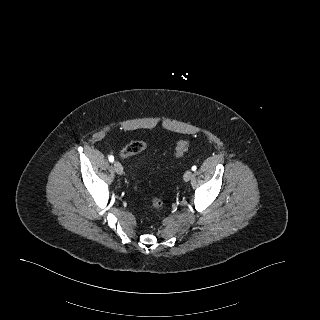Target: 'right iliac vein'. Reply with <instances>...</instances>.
Listing matches in <instances>:
<instances>
[{
	"instance_id": "63e3f726",
	"label": "right iliac vein",
	"mask_w": 320,
	"mask_h": 320,
	"mask_svg": "<svg viewBox=\"0 0 320 320\" xmlns=\"http://www.w3.org/2000/svg\"><path fill=\"white\" fill-rule=\"evenodd\" d=\"M114 169L117 174L122 175L123 174V166L121 165L120 162L115 161L114 162Z\"/></svg>"
}]
</instances>
